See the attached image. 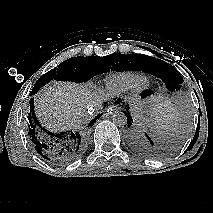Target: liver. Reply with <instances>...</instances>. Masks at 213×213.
Instances as JSON below:
<instances>
[{
	"instance_id": "1",
	"label": "liver",
	"mask_w": 213,
	"mask_h": 213,
	"mask_svg": "<svg viewBox=\"0 0 213 213\" xmlns=\"http://www.w3.org/2000/svg\"><path fill=\"white\" fill-rule=\"evenodd\" d=\"M91 106L98 107V99L86 87L66 82L54 83L39 94L36 100L41 122L56 131L80 125Z\"/></svg>"
}]
</instances>
